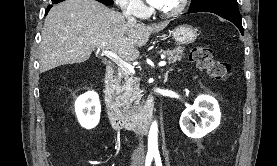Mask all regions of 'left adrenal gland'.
Segmentation results:
<instances>
[{
	"label": "left adrenal gland",
	"mask_w": 277,
	"mask_h": 166,
	"mask_svg": "<svg viewBox=\"0 0 277 166\" xmlns=\"http://www.w3.org/2000/svg\"><path fill=\"white\" fill-rule=\"evenodd\" d=\"M170 71H172V69H169L168 71H166L164 82H167V80H168V74H169Z\"/></svg>",
	"instance_id": "left-adrenal-gland-1"
}]
</instances>
